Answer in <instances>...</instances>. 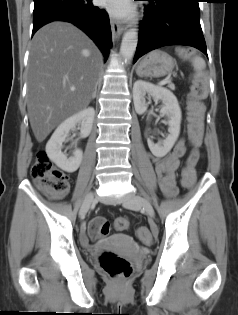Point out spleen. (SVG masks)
Returning <instances> with one entry per match:
<instances>
[{
  "mask_svg": "<svg viewBox=\"0 0 238 315\" xmlns=\"http://www.w3.org/2000/svg\"><path fill=\"white\" fill-rule=\"evenodd\" d=\"M192 63H193L194 70L197 72V75H200L206 67V63L204 59L199 56H196L193 59Z\"/></svg>",
  "mask_w": 238,
  "mask_h": 315,
  "instance_id": "spleen-1",
  "label": "spleen"
}]
</instances>
